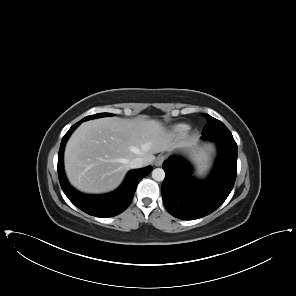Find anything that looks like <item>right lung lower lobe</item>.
Here are the masks:
<instances>
[{"mask_svg": "<svg viewBox=\"0 0 296 296\" xmlns=\"http://www.w3.org/2000/svg\"><path fill=\"white\" fill-rule=\"evenodd\" d=\"M81 123L73 125L64 135L58 155V176L59 181L68 199L80 210L96 217H112L123 212L131 203L137 184L147 176L152 168L146 167L128 172L123 184L116 191L105 195H85L71 187L66 179L63 168V151L67 139L75 128Z\"/></svg>", "mask_w": 296, "mask_h": 296, "instance_id": "1", "label": "right lung lower lobe"}]
</instances>
